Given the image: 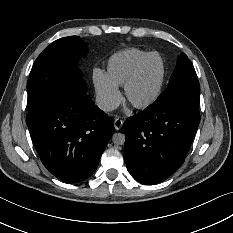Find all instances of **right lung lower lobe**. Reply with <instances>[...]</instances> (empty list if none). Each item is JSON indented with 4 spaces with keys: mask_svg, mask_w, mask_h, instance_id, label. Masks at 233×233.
<instances>
[{
    "mask_svg": "<svg viewBox=\"0 0 233 233\" xmlns=\"http://www.w3.org/2000/svg\"><path fill=\"white\" fill-rule=\"evenodd\" d=\"M78 81L67 84L26 119L44 166L57 178L77 183L89 178L113 135V118L100 110Z\"/></svg>",
    "mask_w": 233,
    "mask_h": 233,
    "instance_id": "1",
    "label": "right lung lower lobe"
}]
</instances>
